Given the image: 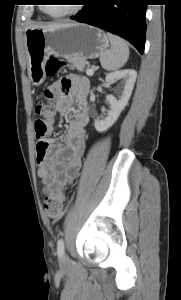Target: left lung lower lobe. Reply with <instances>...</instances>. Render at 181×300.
<instances>
[{
  "label": "left lung lower lobe",
  "mask_w": 181,
  "mask_h": 300,
  "mask_svg": "<svg viewBox=\"0 0 181 300\" xmlns=\"http://www.w3.org/2000/svg\"><path fill=\"white\" fill-rule=\"evenodd\" d=\"M71 19L94 25L128 40L141 54L146 40V0H85Z\"/></svg>",
  "instance_id": "obj_1"
}]
</instances>
